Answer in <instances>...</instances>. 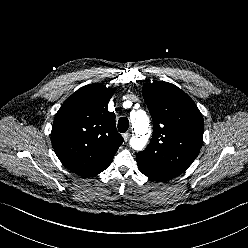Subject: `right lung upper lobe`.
<instances>
[{"label": "right lung upper lobe", "instance_id": "right-lung-upper-lobe-1", "mask_svg": "<svg viewBox=\"0 0 248 248\" xmlns=\"http://www.w3.org/2000/svg\"><path fill=\"white\" fill-rule=\"evenodd\" d=\"M114 91L100 83L84 86L55 116L51 131L54 151L66 168L82 177L104 171L123 142L115 114L107 108Z\"/></svg>", "mask_w": 248, "mask_h": 248}]
</instances>
